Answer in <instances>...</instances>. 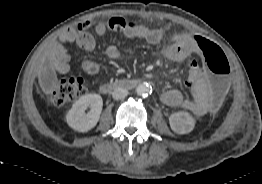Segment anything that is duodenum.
<instances>
[{"mask_svg": "<svg viewBox=\"0 0 262 184\" xmlns=\"http://www.w3.org/2000/svg\"><path fill=\"white\" fill-rule=\"evenodd\" d=\"M139 80L137 79H123V80H119L117 82L114 83H104L101 85L100 89L103 93H109L114 89L117 88H131L136 86L137 84H139Z\"/></svg>", "mask_w": 262, "mask_h": 184, "instance_id": "duodenum-1", "label": "duodenum"}]
</instances>
